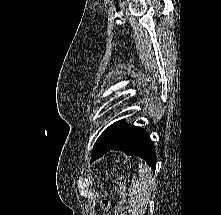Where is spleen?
<instances>
[{
	"mask_svg": "<svg viewBox=\"0 0 221 215\" xmlns=\"http://www.w3.org/2000/svg\"><path fill=\"white\" fill-rule=\"evenodd\" d=\"M154 186L151 169L147 164L140 163L139 177L132 179L129 188V212L132 215L145 214Z\"/></svg>",
	"mask_w": 221,
	"mask_h": 215,
	"instance_id": "obj_1",
	"label": "spleen"
}]
</instances>
